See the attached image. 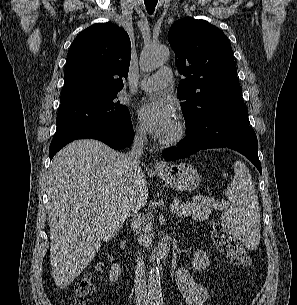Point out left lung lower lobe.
<instances>
[{
	"mask_svg": "<svg viewBox=\"0 0 297 305\" xmlns=\"http://www.w3.org/2000/svg\"><path fill=\"white\" fill-rule=\"evenodd\" d=\"M208 148H230L246 156L262 173L256 134L250 125L242 98L212 108L186 128V136L177 146L163 153L165 160L185 158Z\"/></svg>",
	"mask_w": 297,
	"mask_h": 305,
	"instance_id": "left-lung-lower-lobe-1",
	"label": "left lung lower lobe"
}]
</instances>
